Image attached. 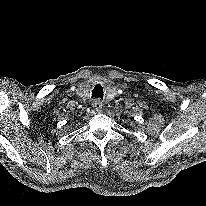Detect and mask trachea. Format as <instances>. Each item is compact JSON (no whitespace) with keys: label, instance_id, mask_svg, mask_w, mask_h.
<instances>
[{"label":"trachea","instance_id":"1","mask_svg":"<svg viewBox=\"0 0 206 206\" xmlns=\"http://www.w3.org/2000/svg\"><path fill=\"white\" fill-rule=\"evenodd\" d=\"M103 87L100 84L95 85L92 90V98H100L103 99Z\"/></svg>","mask_w":206,"mask_h":206}]
</instances>
